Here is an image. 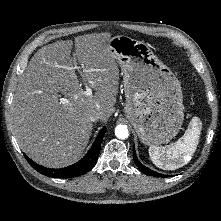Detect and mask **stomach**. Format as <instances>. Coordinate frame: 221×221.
Returning a JSON list of instances; mask_svg holds the SVG:
<instances>
[{"label": "stomach", "mask_w": 221, "mask_h": 221, "mask_svg": "<svg viewBox=\"0 0 221 221\" xmlns=\"http://www.w3.org/2000/svg\"><path fill=\"white\" fill-rule=\"evenodd\" d=\"M108 45L123 72L124 112L141 142L148 146L169 142L184 120L180 82L145 43L118 35Z\"/></svg>", "instance_id": "0dacf381"}]
</instances>
